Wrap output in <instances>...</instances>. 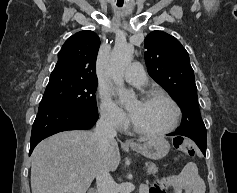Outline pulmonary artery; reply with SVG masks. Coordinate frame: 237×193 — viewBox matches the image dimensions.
Wrapping results in <instances>:
<instances>
[{
	"label": "pulmonary artery",
	"instance_id": "pulmonary-artery-1",
	"mask_svg": "<svg viewBox=\"0 0 237 193\" xmlns=\"http://www.w3.org/2000/svg\"><path fill=\"white\" fill-rule=\"evenodd\" d=\"M125 80L131 85L142 88L146 85V74L141 64L135 62L131 64L124 72Z\"/></svg>",
	"mask_w": 237,
	"mask_h": 193
}]
</instances>
